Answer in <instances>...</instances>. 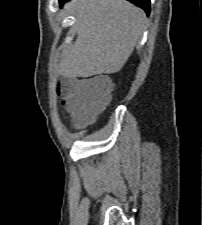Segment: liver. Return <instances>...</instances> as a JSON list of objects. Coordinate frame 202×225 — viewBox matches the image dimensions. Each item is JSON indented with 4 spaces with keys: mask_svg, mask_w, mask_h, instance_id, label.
Masks as SVG:
<instances>
[{
    "mask_svg": "<svg viewBox=\"0 0 202 225\" xmlns=\"http://www.w3.org/2000/svg\"><path fill=\"white\" fill-rule=\"evenodd\" d=\"M77 38L61 62L66 78L118 72L145 30V12L126 0H74Z\"/></svg>",
    "mask_w": 202,
    "mask_h": 225,
    "instance_id": "liver-1",
    "label": "liver"
}]
</instances>
